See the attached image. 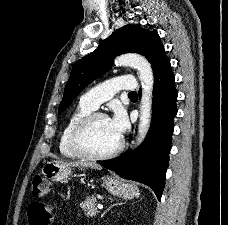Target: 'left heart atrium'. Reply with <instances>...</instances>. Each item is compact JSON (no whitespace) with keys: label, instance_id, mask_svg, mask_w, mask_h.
<instances>
[{"label":"left heart atrium","instance_id":"left-heart-atrium-1","mask_svg":"<svg viewBox=\"0 0 228 225\" xmlns=\"http://www.w3.org/2000/svg\"><path fill=\"white\" fill-rule=\"evenodd\" d=\"M109 124L113 134L118 139H121L123 137L128 127L127 118L125 114L120 110L115 111L114 116L109 119Z\"/></svg>","mask_w":228,"mask_h":225}]
</instances>
